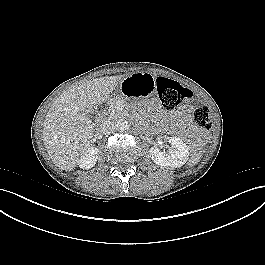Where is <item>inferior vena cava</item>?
I'll return each mask as SVG.
<instances>
[{
    "instance_id": "inferior-vena-cava-1",
    "label": "inferior vena cava",
    "mask_w": 265,
    "mask_h": 265,
    "mask_svg": "<svg viewBox=\"0 0 265 265\" xmlns=\"http://www.w3.org/2000/svg\"><path fill=\"white\" fill-rule=\"evenodd\" d=\"M115 128L116 127L112 121L104 120L100 125V133L109 135L114 132Z\"/></svg>"
}]
</instances>
